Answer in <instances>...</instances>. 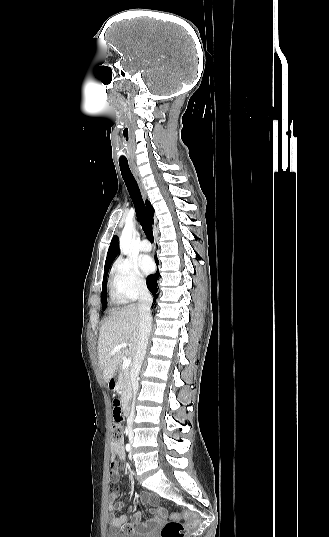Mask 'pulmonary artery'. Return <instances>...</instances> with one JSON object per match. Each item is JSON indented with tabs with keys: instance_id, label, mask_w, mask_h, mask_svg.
Wrapping results in <instances>:
<instances>
[{
	"instance_id": "1",
	"label": "pulmonary artery",
	"mask_w": 329,
	"mask_h": 537,
	"mask_svg": "<svg viewBox=\"0 0 329 537\" xmlns=\"http://www.w3.org/2000/svg\"><path fill=\"white\" fill-rule=\"evenodd\" d=\"M139 249L142 252H149L151 250V244L149 243L148 240H142L139 245Z\"/></svg>"
}]
</instances>
